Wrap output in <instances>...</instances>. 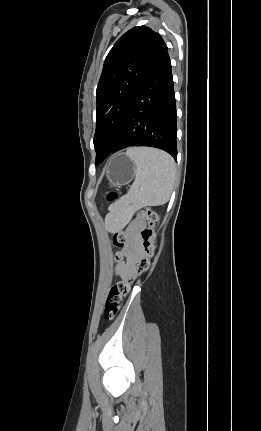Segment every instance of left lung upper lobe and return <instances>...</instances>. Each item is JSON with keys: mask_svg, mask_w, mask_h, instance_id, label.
<instances>
[{"mask_svg": "<svg viewBox=\"0 0 261 431\" xmlns=\"http://www.w3.org/2000/svg\"><path fill=\"white\" fill-rule=\"evenodd\" d=\"M166 51L158 33L138 26L127 31L108 53L96 91L95 164L110 154L136 93Z\"/></svg>", "mask_w": 261, "mask_h": 431, "instance_id": "5c2ea615", "label": "left lung upper lobe"}]
</instances>
